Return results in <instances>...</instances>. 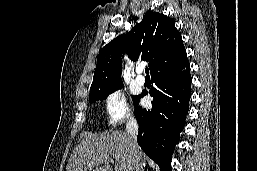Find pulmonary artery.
Here are the masks:
<instances>
[{"instance_id": "pulmonary-artery-1", "label": "pulmonary artery", "mask_w": 257, "mask_h": 171, "mask_svg": "<svg viewBox=\"0 0 257 171\" xmlns=\"http://www.w3.org/2000/svg\"><path fill=\"white\" fill-rule=\"evenodd\" d=\"M142 69H137L136 83L140 86L145 84V78L141 75Z\"/></svg>"}]
</instances>
